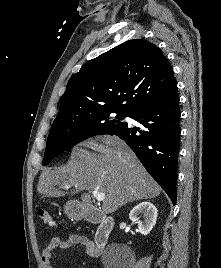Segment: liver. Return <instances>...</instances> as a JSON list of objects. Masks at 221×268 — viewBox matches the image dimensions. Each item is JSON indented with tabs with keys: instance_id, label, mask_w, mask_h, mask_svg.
Masks as SVG:
<instances>
[{
	"instance_id": "obj_1",
	"label": "liver",
	"mask_w": 221,
	"mask_h": 268,
	"mask_svg": "<svg viewBox=\"0 0 221 268\" xmlns=\"http://www.w3.org/2000/svg\"><path fill=\"white\" fill-rule=\"evenodd\" d=\"M101 141L85 143L98 153L76 147L66 166L44 169L39 177L38 193L58 198L98 190L105 194L102 208L106 214L128 202L160 195L161 187L125 142L115 136L101 137ZM68 184L74 186L69 193L57 189Z\"/></svg>"
}]
</instances>
